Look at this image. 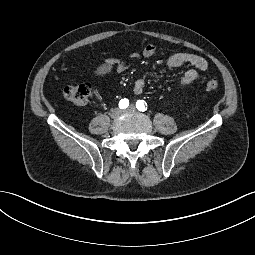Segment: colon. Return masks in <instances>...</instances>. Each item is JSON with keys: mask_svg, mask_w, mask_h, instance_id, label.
<instances>
[{"mask_svg": "<svg viewBox=\"0 0 255 255\" xmlns=\"http://www.w3.org/2000/svg\"><path fill=\"white\" fill-rule=\"evenodd\" d=\"M205 86L207 90L214 91L218 88L219 83L216 79H210L206 82ZM91 91V86L87 83L70 85L64 88L63 96L67 101L76 106H85L88 103Z\"/></svg>", "mask_w": 255, "mask_h": 255, "instance_id": "1", "label": "colon"}]
</instances>
